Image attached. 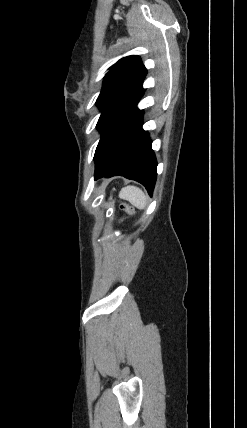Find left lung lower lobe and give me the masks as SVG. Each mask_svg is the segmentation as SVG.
I'll list each match as a JSON object with an SVG mask.
<instances>
[{"instance_id": "1", "label": "left lung lower lobe", "mask_w": 247, "mask_h": 428, "mask_svg": "<svg viewBox=\"0 0 247 428\" xmlns=\"http://www.w3.org/2000/svg\"><path fill=\"white\" fill-rule=\"evenodd\" d=\"M142 96L126 103L102 127L94 156L95 180L121 175L143 184L151 196L157 162L148 133L142 129L143 112L136 107Z\"/></svg>"}]
</instances>
